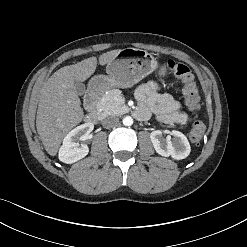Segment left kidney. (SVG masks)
I'll return each mask as SVG.
<instances>
[{"mask_svg":"<svg viewBox=\"0 0 247 247\" xmlns=\"http://www.w3.org/2000/svg\"><path fill=\"white\" fill-rule=\"evenodd\" d=\"M170 134L173 136L172 140L170 136L163 138L162 132L159 130L150 134L155 151L161 156H171L176 160L186 158L191 150L188 139L179 131L173 130Z\"/></svg>","mask_w":247,"mask_h":247,"instance_id":"obj_1","label":"left kidney"}]
</instances>
